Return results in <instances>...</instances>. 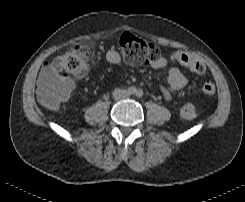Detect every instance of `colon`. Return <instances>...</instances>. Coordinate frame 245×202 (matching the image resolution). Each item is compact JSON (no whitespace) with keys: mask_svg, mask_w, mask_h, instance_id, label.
I'll use <instances>...</instances> for the list:
<instances>
[{"mask_svg":"<svg viewBox=\"0 0 245 202\" xmlns=\"http://www.w3.org/2000/svg\"><path fill=\"white\" fill-rule=\"evenodd\" d=\"M121 51L124 59L133 65L146 62H154L160 58V48L139 37L125 35L121 42ZM95 48L89 43L73 45L65 52L56 56L53 60V69L60 75L69 76L74 79L83 78L90 69ZM176 60L196 74L205 71L204 63L187 52H178ZM202 92L206 96L215 93V84L206 79L202 84ZM69 93L59 84L45 87L39 91V100L50 109H55L69 98ZM181 116L186 120H193L198 116V110L192 104H185L181 108Z\"/></svg>","mask_w":245,"mask_h":202,"instance_id":"1","label":"colon"}]
</instances>
